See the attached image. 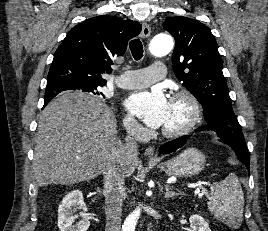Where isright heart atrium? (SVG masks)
<instances>
[{"label":"right heart atrium","instance_id":"d8ad5b80","mask_svg":"<svg viewBox=\"0 0 268 231\" xmlns=\"http://www.w3.org/2000/svg\"><path fill=\"white\" fill-rule=\"evenodd\" d=\"M124 123L125 126L129 129V130H137L140 129V125L137 123V121L131 117L130 115H126L124 118Z\"/></svg>","mask_w":268,"mask_h":231}]
</instances>
